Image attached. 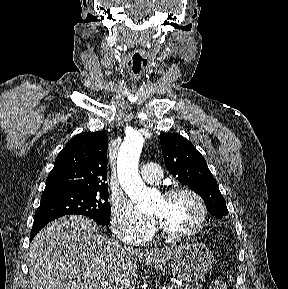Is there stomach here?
<instances>
[{
  "mask_svg": "<svg viewBox=\"0 0 288 289\" xmlns=\"http://www.w3.org/2000/svg\"><path fill=\"white\" fill-rule=\"evenodd\" d=\"M213 260V254L205 244L188 243L176 247L170 266L179 280L195 282L209 272Z\"/></svg>",
  "mask_w": 288,
  "mask_h": 289,
  "instance_id": "obj_1",
  "label": "stomach"
}]
</instances>
